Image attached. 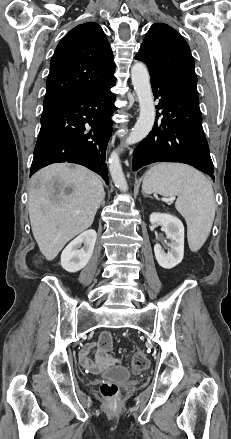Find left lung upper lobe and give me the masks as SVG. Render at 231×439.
<instances>
[{"label": "left lung upper lobe", "mask_w": 231, "mask_h": 439, "mask_svg": "<svg viewBox=\"0 0 231 439\" xmlns=\"http://www.w3.org/2000/svg\"><path fill=\"white\" fill-rule=\"evenodd\" d=\"M136 56L199 103L197 77L190 48L171 26L164 23L152 25Z\"/></svg>", "instance_id": "obj_1"}]
</instances>
